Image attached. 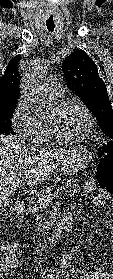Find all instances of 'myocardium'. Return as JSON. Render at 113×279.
<instances>
[{
	"mask_svg": "<svg viewBox=\"0 0 113 279\" xmlns=\"http://www.w3.org/2000/svg\"><path fill=\"white\" fill-rule=\"evenodd\" d=\"M71 104L77 105L82 109V111L84 112V114L87 118V128L82 135H79L76 137H67V136H63L62 134H60L59 131L57 130V128L55 127V125L53 124V122L51 120L47 119L46 123L48 125V128H49L52 136L58 142H61V143L72 144V143L83 142L90 137V135L92 134L93 129H94V122H95L94 117H93L91 111L89 110V108L81 100L76 99V98H66V99H63V100H60L59 102H57L55 104L54 108L56 110H61Z\"/></svg>",
	"mask_w": 113,
	"mask_h": 279,
	"instance_id": "obj_1",
	"label": "myocardium"
}]
</instances>
